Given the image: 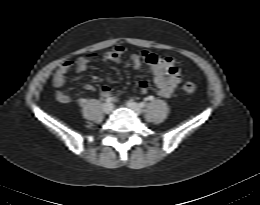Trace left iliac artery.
<instances>
[{
  "label": "left iliac artery",
  "instance_id": "1",
  "mask_svg": "<svg viewBox=\"0 0 260 205\" xmlns=\"http://www.w3.org/2000/svg\"><path fill=\"white\" fill-rule=\"evenodd\" d=\"M148 99H149V100H152V99H153V97H152V96H150ZM139 105H140V107H141V108H143V107H145V106H146V104H145L144 102H141Z\"/></svg>",
  "mask_w": 260,
  "mask_h": 205
}]
</instances>
